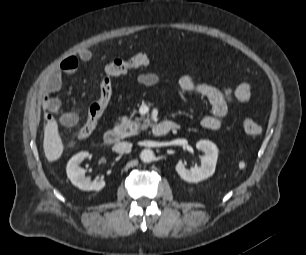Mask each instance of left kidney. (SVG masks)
<instances>
[{
  "mask_svg": "<svg viewBox=\"0 0 306 255\" xmlns=\"http://www.w3.org/2000/svg\"><path fill=\"white\" fill-rule=\"evenodd\" d=\"M196 148L204 152L201 157V166L187 169L182 161H178L175 166L176 172L180 177L192 183H198L212 176L215 172L216 162L218 158L217 146L208 140H200L196 143Z\"/></svg>",
  "mask_w": 306,
  "mask_h": 255,
  "instance_id": "obj_1",
  "label": "left kidney"
}]
</instances>
